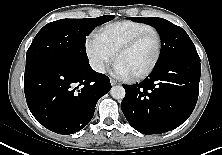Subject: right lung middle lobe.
<instances>
[{
	"label": "right lung middle lobe",
	"instance_id": "right-lung-middle-lobe-1",
	"mask_svg": "<svg viewBox=\"0 0 222 155\" xmlns=\"http://www.w3.org/2000/svg\"><path fill=\"white\" fill-rule=\"evenodd\" d=\"M112 19L113 15H105L48 23L38 32L27 51L25 72L50 63H88L86 36L96 26Z\"/></svg>",
	"mask_w": 222,
	"mask_h": 155
}]
</instances>
